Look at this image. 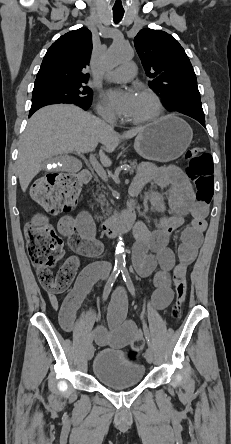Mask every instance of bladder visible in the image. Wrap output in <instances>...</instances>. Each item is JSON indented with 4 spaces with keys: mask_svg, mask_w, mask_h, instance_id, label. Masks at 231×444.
<instances>
[{
    "mask_svg": "<svg viewBox=\"0 0 231 444\" xmlns=\"http://www.w3.org/2000/svg\"><path fill=\"white\" fill-rule=\"evenodd\" d=\"M144 373L142 363L112 349L98 351L92 363L93 376L105 386L114 389L140 384Z\"/></svg>",
    "mask_w": 231,
    "mask_h": 444,
    "instance_id": "bladder-1",
    "label": "bladder"
}]
</instances>
